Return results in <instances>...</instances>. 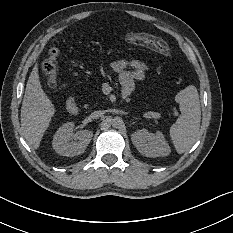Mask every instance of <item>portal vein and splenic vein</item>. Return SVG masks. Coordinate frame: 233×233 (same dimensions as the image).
Instances as JSON below:
<instances>
[{
    "label": "portal vein and splenic vein",
    "instance_id": "portal-vein-and-splenic-vein-1",
    "mask_svg": "<svg viewBox=\"0 0 233 233\" xmlns=\"http://www.w3.org/2000/svg\"><path fill=\"white\" fill-rule=\"evenodd\" d=\"M145 117H147V118H158L159 114L156 113V112H150V113H146Z\"/></svg>",
    "mask_w": 233,
    "mask_h": 233
}]
</instances>
